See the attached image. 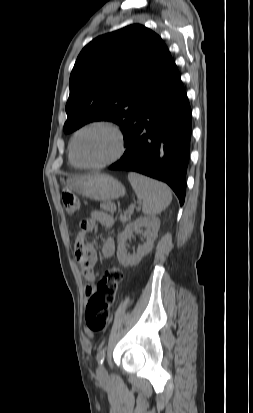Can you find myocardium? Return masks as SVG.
I'll use <instances>...</instances> for the list:
<instances>
[{
  "instance_id": "f54148a6",
  "label": "myocardium",
  "mask_w": 253,
  "mask_h": 413,
  "mask_svg": "<svg viewBox=\"0 0 253 413\" xmlns=\"http://www.w3.org/2000/svg\"><path fill=\"white\" fill-rule=\"evenodd\" d=\"M92 128H104L110 131L115 138L116 148L111 156H109L108 158L104 159L101 162H98L95 164H83V163H80L76 159L75 153H74V146H75L77 137L84 131L92 129ZM124 152H125V139H124V135H123L121 128L116 123L110 120H104V119L90 121L84 124L83 126H81L80 128H78L72 135V138L70 140V145H69V156H70L72 163L75 166L79 168H83V169H100L108 165H111L115 163L116 161H118L123 156Z\"/></svg>"
}]
</instances>
